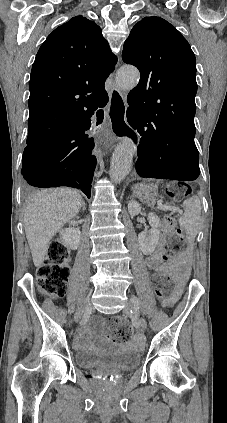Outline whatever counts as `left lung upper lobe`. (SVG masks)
Wrapping results in <instances>:
<instances>
[{
    "label": "left lung upper lobe",
    "instance_id": "5c2ea615",
    "mask_svg": "<svg viewBox=\"0 0 227 423\" xmlns=\"http://www.w3.org/2000/svg\"><path fill=\"white\" fill-rule=\"evenodd\" d=\"M122 59L141 75L128 94L129 106L195 114V55L173 25L160 17L143 18L125 41Z\"/></svg>",
    "mask_w": 227,
    "mask_h": 423
}]
</instances>
